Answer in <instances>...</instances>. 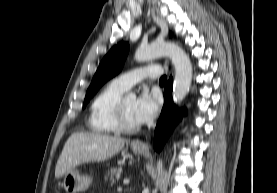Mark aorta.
Returning <instances> with one entry per match:
<instances>
[{
    "label": "aorta",
    "mask_w": 277,
    "mask_h": 193,
    "mask_svg": "<svg viewBox=\"0 0 277 193\" xmlns=\"http://www.w3.org/2000/svg\"><path fill=\"white\" fill-rule=\"evenodd\" d=\"M168 56L175 67L173 85V101L179 104L189 92L192 82V65L189 56L177 44L171 42H154L148 46L140 47L135 52V60L145 62L157 57ZM135 93H128L126 99H135ZM158 176L162 173V161L157 162ZM158 185V180L156 182Z\"/></svg>",
    "instance_id": "762f6f07"
}]
</instances>
